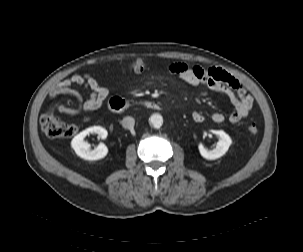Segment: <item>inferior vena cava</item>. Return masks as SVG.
Returning a JSON list of instances; mask_svg holds the SVG:
<instances>
[{
    "label": "inferior vena cava",
    "mask_w": 303,
    "mask_h": 252,
    "mask_svg": "<svg viewBox=\"0 0 303 252\" xmlns=\"http://www.w3.org/2000/svg\"><path fill=\"white\" fill-rule=\"evenodd\" d=\"M135 120L133 117L127 116L124 117L122 120V126L126 129H131L134 127Z\"/></svg>",
    "instance_id": "602c4592"
}]
</instances>
